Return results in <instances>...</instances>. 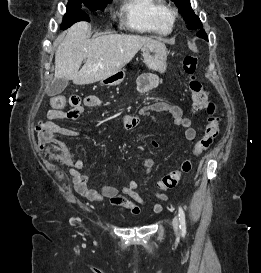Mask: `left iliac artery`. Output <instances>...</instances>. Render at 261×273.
I'll list each match as a JSON object with an SVG mask.
<instances>
[{
	"mask_svg": "<svg viewBox=\"0 0 261 273\" xmlns=\"http://www.w3.org/2000/svg\"><path fill=\"white\" fill-rule=\"evenodd\" d=\"M179 221H180V229L182 233H186V220H185V213L182 207L178 209Z\"/></svg>",
	"mask_w": 261,
	"mask_h": 273,
	"instance_id": "1",
	"label": "left iliac artery"
}]
</instances>
